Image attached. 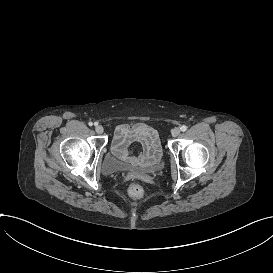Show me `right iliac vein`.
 I'll use <instances>...</instances> for the list:
<instances>
[{
	"label": "right iliac vein",
	"mask_w": 273,
	"mask_h": 273,
	"mask_svg": "<svg viewBox=\"0 0 273 273\" xmlns=\"http://www.w3.org/2000/svg\"><path fill=\"white\" fill-rule=\"evenodd\" d=\"M95 131L98 133V134H101L103 133L104 129L101 125H96L95 127Z\"/></svg>",
	"instance_id": "1"
}]
</instances>
